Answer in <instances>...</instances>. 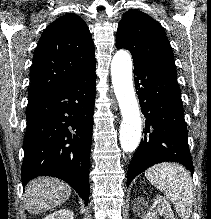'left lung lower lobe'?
<instances>
[{
  "instance_id": "1",
  "label": "left lung lower lobe",
  "mask_w": 211,
  "mask_h": 219,
  "mask_svg": "<svg viewBox=\"0 0 211 219\" xmlns=\"http://www.w3.org/2000/svg\"><path fill=\"white\" fill-rule=\"evenodd\" d=\"M134 80L145 115L144 138L128 167L127 186L154 164L173 161L193 173L176 67L134 61Z\"/></svg>"
}]
</instances>
